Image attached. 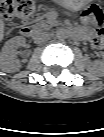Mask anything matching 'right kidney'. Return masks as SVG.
<instances>
[{"label":"right kidney","mask_w":104,"mask_h":137,"mask_svg":"<svg viewBox=\"0 0 104 137\" xmlns=\"http://www.w3.org/2000/svg\"><path fill=\"white\" fill-rule=\"evenodd\" d=\"M26 39L22 36H16L8 40L0 52V69L7 73L17 72L21 68V63L15 57L16 49L25 46Z\"/></svg>","instance_id":"1"}]
</instances>
